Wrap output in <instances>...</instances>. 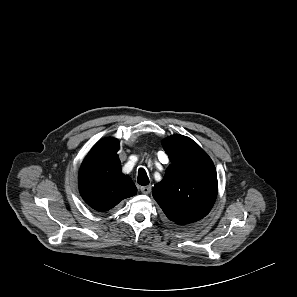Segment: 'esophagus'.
<instances>
[{
  "label": "esophagus",
  "instance_id": "34e87169",
  "mask_svg": "<svg viewBox=\"0 0 297 297\" xmlns=\"http://www.w3.org/2000/svg\"><path fill=\"white\" fill-rule=\"evenodd\" d=\"M140 190L143 194H149L151 192V186H142Z\"/></svg>",
  "mask_w": 297,
  "mask_h": 297
}]
</instances>
